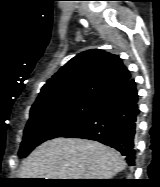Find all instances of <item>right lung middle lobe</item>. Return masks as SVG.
I'll use <instances>...</instances> for the list:
<instances>
[{
	"label": "right lung middle lobe",
	"mask_w": 160,
	"mask_h": 187,
	"mask_svg": "<svg viewBox=\"0 0 160 187\" xmlns=\"http://www.w3.org/2000/svg\"><path fill=\"white\" fill-rule=\"evenodd\" d=\"M96 102L82 99L32 108L24 130L19 156L25 158L39 144L58 137L76 125L89 114Z\"/></svg>",
	"instance_id": "obj_1"
}]
</instances>
